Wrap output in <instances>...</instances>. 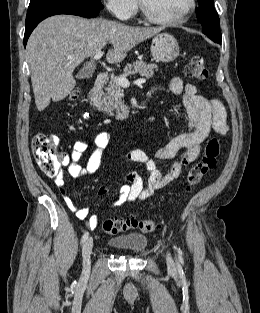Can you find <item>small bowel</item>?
<instances>
[{"instance_id": "c3829d8e", "label": "small bowel", "mask_w": 260, "mask_h": 313, "mask_svg": "<svg viewBox=\"0 0 260 313\" xmlns=\"http://www.w3.org/2000/svg\"><path fill=\"white\" fill-rule=\"evenodd\" d=\"M170 93L174 96H181L182 105L189 117L188 130L176 135L167 144L157 148L155 157L159 160H171L180 152L178 161L173 162L167 173H163L157 166L155 160L145 151L130 149L120 157L122 161L134 162L144 165L145 177L136 172H126L122 176L123 183L119 187V196L112 203V206L146 200L155 191L162 189L178 179L184 166L193 163L200 155L202 144L209 136L211 130L219 135L228 132L226 122V110L218 99H207L197 93L193 84H184L182 79L174 77L169 85ZM110 134L107 131H97L94 135L96 149L90 156L88 163L83 166L79 163L82 154L87 148V142L83 139L77 140L65 157V166L69 175L73 178H80L94 174L100 167L104 151L109 144ZM56 186L62 195L66 207L80 220L86 219L90 228L97 226V217L89 216L86 208H80L74 204L68 195L64 181L61 178L55 180ZM107 188L101 186L97 194L105 195Z\"/></svg>"}]
</instances>
